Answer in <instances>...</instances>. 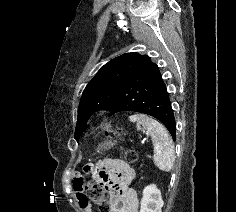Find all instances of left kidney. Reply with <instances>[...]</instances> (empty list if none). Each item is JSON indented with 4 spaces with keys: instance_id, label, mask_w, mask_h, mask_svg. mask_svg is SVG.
<instances>
[{
    "instance_id": "5707ae66",
    "label": "left kidney",
    "mask_w": 236,
    "mask_h": 212,
    "mask_svg": "<svg viewBox=\"0 0 236 212\" xmlns=\"http://www.w3.org/2000/svg\"><path fill=\"white\" fill-rule=\"evenodd\" d=\"M163 200L160 190L152 184L144 188L140 212H161Z\"/></svg>"
}]
</instances>
